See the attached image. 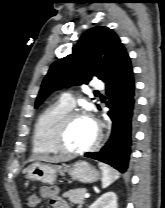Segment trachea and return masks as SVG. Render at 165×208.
I'll list each match as a JSON object with an SVG mask.
<instances>
[{"mask_svg": "<svg viewBox=\"0 0 165 208\" xmlns=\"http://www.w3.org/2000/svg\"><path fill=\"white\" fill-rule=\"evenodd\" d=\"M94 94L99 95L100 93L98 91H95Z\"/></svg>", "mask_w": 165, "mask_h": 208, "instance_id": "trachea-1", "label": "trachea"}]
</instances>
